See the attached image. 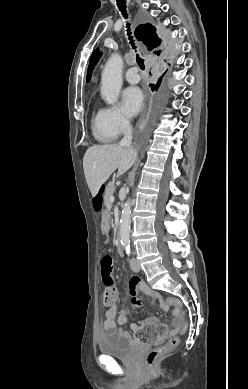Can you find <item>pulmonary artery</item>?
Listing matches in <instances>:
<instances>
[{
	"label": "pulmonary artery",
	"mask_w": 248,
	"mask_h": 389,
	"mask_svg": "<svg viewBox=\"0 0 248 389\" xmlns=\"http://www.w3.org/2000/svg\"><path fill=\"white\" fill-rule=\"evenodd\" d=\"M125 79L127 82H129L131 84L138 83L140 81V76L137 73V68L132 67V68L128 69L125 73Z\"/></svg>",
	"instance_id": "1"
}]
</instances>
